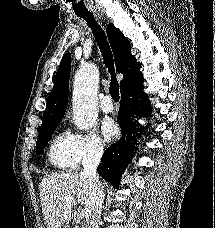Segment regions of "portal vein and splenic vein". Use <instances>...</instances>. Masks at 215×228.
Instances as JSON below:
<instances>
[{"instance_id":"1","label":"portal vein and splenic vein","mask_w":215,"mask_h":228,"mask_svg":"<svg viewBox=\"0 0 215 228\" xmlns=\"http://www.w3.org/2000/svg\"><path fill=\"white\" fill-rule=\"evenodd\" d=\"M65 204H67L68 208H72V206H77L75 200L73 198H69V200H66ZM81 218H88V212L86 210H78Z\"/></svg>"}]
</instances>
